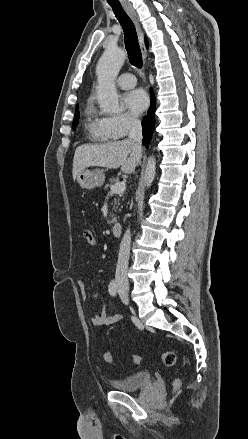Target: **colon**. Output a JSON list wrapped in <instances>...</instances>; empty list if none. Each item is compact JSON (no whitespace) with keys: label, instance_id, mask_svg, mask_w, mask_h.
Returning <instances> with one entry per match:
<instances>
[{"label":"colon","instance_id":"obj_1","mask_svg":"<svg viewBox=\"0 0 248 439\" xmlns=\"http://www.w3.org/2000/svg\"><path fill=\"white\" fill-rule=\"evenodd\" d=\"M83 237L85 239V242L89 246H95L97 244V237L93 231L85 230L83 233ZM103 358H104L105 362H107L109 364H113V362H114L113 355L109 351L104 352ZM161 359H162L163 363L168 367H174L177 365V362H178L176 354L172 351L163 352L161 354ZM131 360L135 365H137L141 362V357L138 355H133ZM179 386H180V382L178 380H176L174 382V390L175 391L178 390Z\"/></svg>","mask_w":248,"mask_h":439}]
</instances>
